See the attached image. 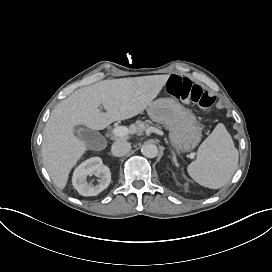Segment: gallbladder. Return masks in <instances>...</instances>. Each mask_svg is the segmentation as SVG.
Wrapping results in <instances>:
<instances>
[{
	"label": "gallbladder",
	"mask_w": 272,
	"mask_h": 272,
	"mask_svg": "<svg viewBox=\"0 0 272 272\" xmlns=\"http://www.w3.org/2000/svg\"><path fill=\"white\" fill-rule=\"evenodd\" d=\"M77 134L81 139L86 141L90 147H93L96 138L104 140L98 132L87 128L78 129Z\"/></svg>",
	"instance_id": "obj_1"
}]
</instances>
